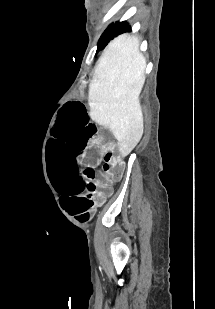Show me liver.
Wrapping results in <instances>:
<instances>
[{
    "instance_id": "obj_1",
    "label": "liver",
    "mask_w": 215,
    "mask_h": 309,
    "mask_svg": "<svg viewBox=\"0 0 215 309\" xmlns=\"http://www.w3.org/2000/svg\"><path fill=\"white\" fill-rule=\"evenodd\" d=\"M135 34H120L107 44L89 84L91 114L113 132L123 157L138 144L144 130L139 94L145 82L146 58Z\"/></svg>"
}]
</instances>
